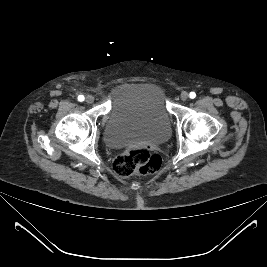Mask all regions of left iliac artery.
<instances>
[{
  "label": "left iliac artery",
  "mask_w": 267,
  "mask_h": 267,
  "mask_svg": "<svg viewBox=\"0 0 267 267\" xmlns=\"http://www.w3.org/2000/svg\"><path fill=\"white\" fill-rule=\"evenodd\" d=\"M195 96H196L195 92L190 93V98H195Z\"/></svg>",
  "instance_id": "1"
}]
</instances>
